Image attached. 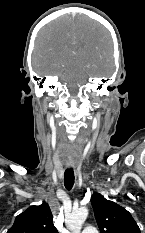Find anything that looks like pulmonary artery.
<instances>
[{
    "instance_id": "e3ab8cb5",
    "label": "pulmonary artery",
    "mask_w": 145,
    "mask_h": 233,
    "mask_svg": "<svg viewBox=\"0 0 145 233\" xmlns=\"http://www.w3.org/2000/svg\"><path fill=\"white\" fill-rule=\"evenodd\" d=\"M82 233H98V230L95 227L88 226L83 229Z\"/></svg>"
}]
</instances>
